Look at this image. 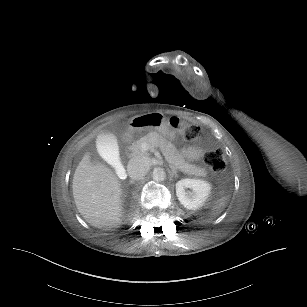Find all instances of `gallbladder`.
Instances as JSON below:
<instances>
[{
	"label": "gallbladder",
	"instance_id": "bac80fb5",
	"mask_svg": "<svg viewBox=\"0 0 307 307\" xmlns=\"http://www.w3.org/2000/svg\"><path fill=\"white\" fill-rule=\"evenodd\" d=\"M97 144L104 159L109 161L110 166L114 167L116 173H119V178L126 180L128 173L123 171V166L120 164L119 150L116 147L114 137L109 133H101L97 137Z\"/></svg>",
	"mask_w": 307,
	"mask_h": 307
}]
</instances>
